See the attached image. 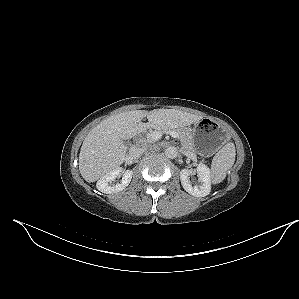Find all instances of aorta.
I'll return each mask as SVG.
<instances>
[{
    "label": "aorta",
    "mask_w": 299,
    "mask_h": 299,
    "mask_svg": "<svg viewBox=\"0 0 299 299\" xmlns=\"http://www.w3.org/2000/svg\"><path fill=\"white\" fill-rule=\"evenodd\" d=\"M165 155L167 158L174 159L178 156V149L174 146H169L165 149Z\"/></svg>",
    "instance_id": "aorta-1"
}]
</instances>
